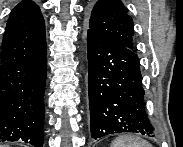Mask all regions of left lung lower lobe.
I'll list each match as a JSON object with an SVG mask.
<instances>
[{
  "label": "left lung lower lobe",
  "instance_id": "obj_1",
  "mask_svg": "<svg viewBox=\"0 0 183 147\" xmlns=\"http://www.w3.org/2000/svg\"><path fill=\"white\" fill-rule=\"evenodd\" d=\"M88 94L92 138L114 133L154 136L134 50L87 32Z\"/></svg>",
  "mask_w": 183,
  "mask_h": 147
}]
</instances>
